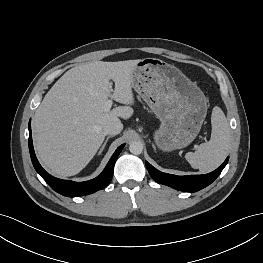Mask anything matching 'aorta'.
<instances>
[{
    "label": "aorta",
    "mask_w": 263,
    "mask_h": 263,
    "mask_svg": "<svg viewBox=\"0 0 263 263\" xmlns=\"http://www.w3.org/2000/svg\"><path fill=\"white\" fill-rule=\"evenodd\" d=\"M129 150L134 155H139L143 151V144L138 141H134L129 145Z\"/></svg>",
    "instance_id": "obj_1"
}]
</instances>
